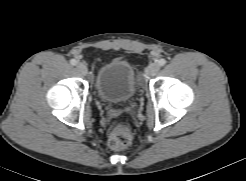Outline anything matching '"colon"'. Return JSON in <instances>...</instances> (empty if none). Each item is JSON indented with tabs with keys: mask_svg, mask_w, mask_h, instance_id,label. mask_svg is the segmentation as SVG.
<instances>
[{
	"mask_svg": "<svg viewBox=\"0 0 246 181\" xmlns=\"http://www.w3.org/2000/svg\"><path fill=\"white\" fill-rule=\"evenodd\" d=\"M132 140L131 129L125 124H119L108 137V146L112 150H121L127 147Z\"/></svg>",
	"mask_w": 246,
	"mask_h": 181,
	"instance_id": "obj_1",
	"label": "colon"
}]
</instances>
